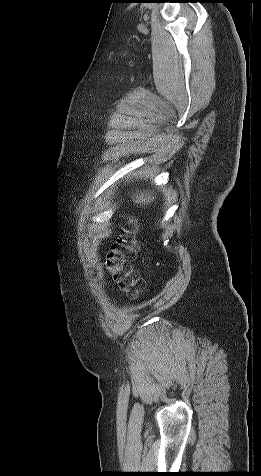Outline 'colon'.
<instances>
[{"mask_svg":"<svg viewBox=\"0 0 261 476\" xmlns=\"http://www.w3.org/2000/svg\"><path fill=\"white\" fill-rule=\"evenodd\" d=\"M136 231V224L131 221L103 257V265L117 289L131 297H137L142 290L140 275L132 265L137 253Z\"/></svg>","mask_w":261,"mask_h":476,"instance_id":"5ec220e1","label":"colon"}]
</instances>
